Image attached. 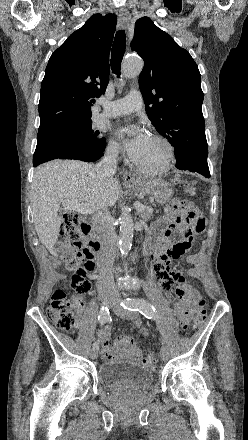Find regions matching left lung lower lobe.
I'll return each mask as SVG.
<instances>
[{
  "label": "left lung lower lobe",
  "instance_id": "0a47b994",
  "mask_svg": "<svg viewBox=\"0 0 248 440\" xmlns=\"http://www.w3.org/2000/svg\"><path fill=\"white\" fill-rule=\"evenodd\" d=\"M176 168L180 170H188L197 172L203 176L210 178V172L207 163V156L202 154L189 155L177 159Z\"/></svg>",
  "mask_w": 248,
  "mask_h": 440
}]
</instances>
